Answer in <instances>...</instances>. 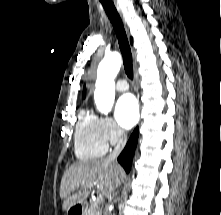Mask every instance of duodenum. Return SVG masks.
Wrapping results in <instances>:
<instances>
[{"instance_id": "410a0bca", "label": "duodenum", "mask_w": 221, "mask_h": 215, "mask_svg": "<svg viewBox=\"0 0 221 215\" xmlns=\"http://www.w3.org/2000/svg\"><path fill=\"white\" fill-rule=\"evenodd\" d=\"M81 213H82V206L81 205L75 206L73 209V215H81Z\"/></svg>"}]
</instances>
